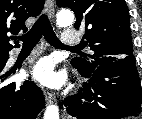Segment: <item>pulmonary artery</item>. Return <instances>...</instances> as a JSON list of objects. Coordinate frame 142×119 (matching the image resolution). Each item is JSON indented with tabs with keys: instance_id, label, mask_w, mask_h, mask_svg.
<instances>
[{
	"instance_id": "obj_1",
	"label": "pulmonary artery",
	"mask_w": 142,
	"mask_h": 119,
	"mask_svg": "<svg viewBox=\"0 0 142 119\" xmlns=\"http://www.w3.org/2000/svg\"><path fill=\"white\" fill-rule=\"evenodd\" d=\"M81 35L78 31L65 29L62 35V44L65 46L76 45L80 42Z\"/></svg>"
}]
</instances>
